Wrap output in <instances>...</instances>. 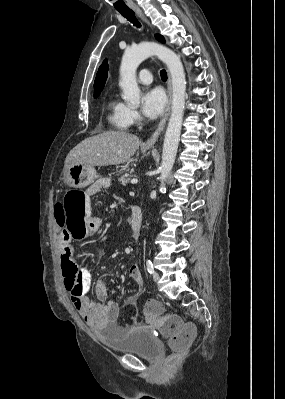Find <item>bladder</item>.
I'll list each match as a JSON object with an SVG mask.
<instances>
[{"label": "bladder", "mask_w": 285, "mask_h": 399, "mask_svg": "<svg viewBox=\"0 0 285 399\" xmlns=\"http://www.w3.org/2000/svg\"><path fill=\"white\" fill-rule=\"evenodd\" d=\"M105 345L112 351L133 354L150 359L157 358L161 346L156 337L143 327H131L122 332H103Z\"/></svg>", "instance_id": "obj_1"}]
</instances>
